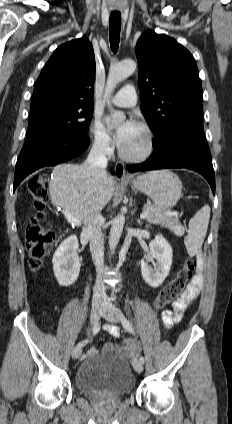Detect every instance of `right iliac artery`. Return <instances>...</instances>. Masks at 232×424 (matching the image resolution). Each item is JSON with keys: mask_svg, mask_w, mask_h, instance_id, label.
I'll return each mask as SVG.
<instances>
[{"mask_svg": "<svg viewBox=\"0 0 232 424\" xmlns=\"http://www.w3.org/2000/svg\"><path fill=\"white\" fill-rule=\"evenodd\" d=\"M99 330H100V323H99V322H96V323L94 324V326H93V329H92L93 335L97 334ZM88 341H89V340H84V341H82V342H79V343L77 344V346H79V347H83L84 345H86V344L88 343Z\"/></svg>", "mask_w": 232, "mask_h": 424, "instance_id": "obj_1", "label": "right iliac artery"}]
</instances>
